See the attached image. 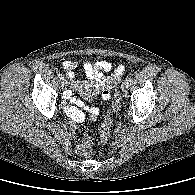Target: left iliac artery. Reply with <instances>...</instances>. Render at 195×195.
Wrapping results in <instances>:
<instances>
[{
	"mask_svg": "<svg viewBox=\"0 0 195 195\" xmlns=\"http://www.w3.org/2000/svg\"><path fill=\"white\" fill-rule=\"evenodd\" d=\"M127 81H128V82H131V81H132L131 77H129V78L127 79Z\"/></svg>",
	"mask_w": 195,
	"mask_h": 195,
	"instance_id": "obj_1",
	"label": "left iliac artery"
}]
</instances>
